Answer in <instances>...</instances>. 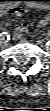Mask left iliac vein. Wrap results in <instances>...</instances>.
<instances>
[{
	"label": "left iliac vein",
	"mask_w": 50,
	"mask_h": 111,
	"mask_svg": "<svg viewBox=\"0 0 50 111\" xmlns=\"http://www.w3.org/2000/svg\"><path fill=\"white\" fill-rule=\"evenodd\" d=\"M38 43L39 44H43V40H38Z\"/></svg>",
	"instance_id": "left-iliac-vein-1"
}]
</instances>
